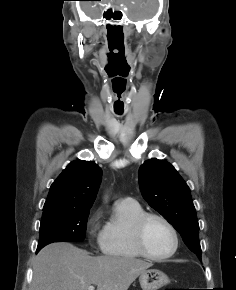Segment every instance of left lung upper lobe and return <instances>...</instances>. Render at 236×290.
Segmentation results:
<instances>
[{"instance_id": "left-lung-upper-lobe-1", "label": "left lung upper lobe", "mask_w": 236, "mask_h": 290, "mask_svg": "<svg viewBox=\"0 0 236 290\" xmlns=\"http://www.w3.org/2000/svg\"><path fill=\"white\" fill-rule=\"evenodd\" d=\"M141 193L182 236L186 246L201 258L199 225L190 189L175 168L156 158L139 169Z\"/></svg>"}]
</instances>
